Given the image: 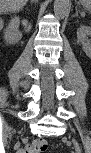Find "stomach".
I'll return each instance as SVG.
<instances>
[{
    "mask_svg": "<svg viewBox=\"0 0 91 153\" xmlns=\"http://www.w3.org/2000/svg\"><path fill=\"white\" fill-rule=\"evenodd\" d=\"M82 3H83V5L89 7L90 4H91V1L90 0H84V1H82Z\"/></svg>",
    "mask_w": 91,
    "mask_h": 153,
    "instance_id": "0dacf381",
    "label": "stomach"
}]
</instances>
